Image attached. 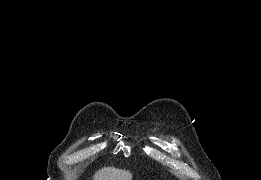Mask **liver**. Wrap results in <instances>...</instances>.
<instances>
[{
	"label": "liver",
	"mask_w": 261,
	"mask_h": 180,
	"mask_svg": "<svg viewBox=\"0 0 261 180\" xmlns=\"http://www.w3.org/2000/svg\"><path fill=\"white\" fill-rule=\"evenodd\" d=\"M96 178L97 180H100V178H102V174H97ZM127 180H131V176H127Z\"/></svg>",
	"instance_id": "6515ba94"
}]
</instances>
